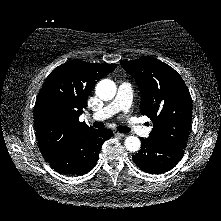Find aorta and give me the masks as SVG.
<instances>
[{"mask_svg": "<svg viewBox=\"0 0 221 221\" xmlns=\"http://www.w3.org/2000/svg\"><path fill=\"white\" fill-rule=\"evenodd\" d=\"M116 94V84L109 79H103L96 86V95L103 101L112 100ZM125 148L130 152H136L140 149L141 142L135 136H128L125 139Z\"/></svg>", "mask_w": 221, "mask_h": 221, "instance_id": "obj_1", "label": "aorta"}]
</instances>
